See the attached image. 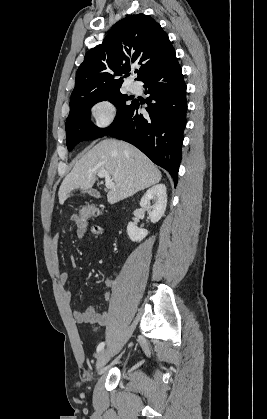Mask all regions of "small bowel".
<instances>
[{
    "mask_svg": "<svg viewBox=\"0 0 267 419\" xmlns=\"http://www.w3.org/2000/svg\"><path fill=\"white\" fill-rule=\"evenodd\" d=\"M71 220L76 224L75 235L79 239H83L87 236H100L104 233V229L99 225H89L88 222H80L76 214L71 216ZM61 239L60 234H56L51 241L52 252L54 256V263L56 268L59 267L58 263V245ZM72 266H75V260L71 259ZM59 282L66 284L69 279V275L66 272H61L58 275ZM107 290L104 292V300L110 301L112 298V290L115 286L114 280L107 278L104 281ZM65 297L68 300L72 299V293L70 291L65 292ZM73 318L77 323L95 324L97 326H104L108 323L109 313L107 311L98 312L95 307H88L84 311H74Z\"/></svg>",
    "mask_w": 267,
    "mask_h": 419,
    "instance_id": "1",
    "label": "small bowel"
}]
</instances>
